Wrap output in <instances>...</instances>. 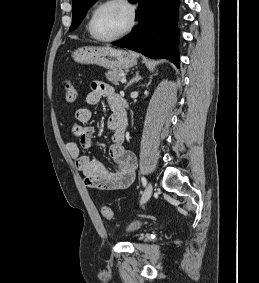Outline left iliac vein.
<instances>
[{
	"label": "left iliac vein",
	"instance_id": "left-iliac-vein-1",
	"mask_svg": "<svg viewBox=\"0 0 259 283\" xmlns=\"http://www.w3.org/2000/svg\"><path fill=\"white\" fill-rule=\"evenodd\" d=\"M152 192H153V186H152V184L149 182V183L147 184V187H146L144 193H143V196H142V199H141V204L146 203V202L150 199V197H151V195H152Z\"/></svg>",
	"mask_w": 259,
	"mask_h": 283
}]
</instances>
